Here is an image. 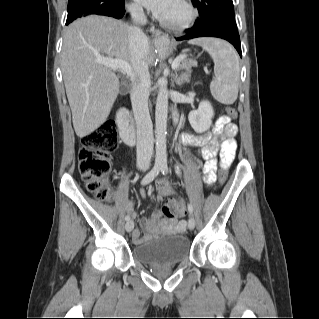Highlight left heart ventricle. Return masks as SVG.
<instances>
[{
	"label": "left heart ventricle",
	"mask_w": 319,
	"mask_h": 319,
	"mask_svg": "<svg viewBox=\"0 0 319 319\" xmlns=\"http://www.w3.org/2000/svg\"><path fill=\"white\" fill-rule=\"evenodd\" d=\"M185 9L179 0H171L166 11L161 15V18L167 20H179L185 16Z\"/></svg>",
	"instance_id": "left-heart-ventricle-1"
}]
</instances>
